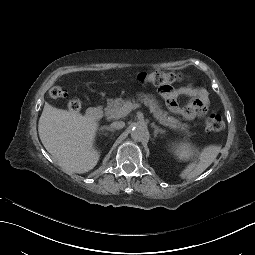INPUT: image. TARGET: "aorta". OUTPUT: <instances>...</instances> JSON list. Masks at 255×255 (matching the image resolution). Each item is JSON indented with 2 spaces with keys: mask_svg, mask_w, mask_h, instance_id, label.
Returning <instances> with one entry per match:
<instances>
[{
  "mask_svg": "<svg viewBox=\"0 0 255 255\" xmlns=\"http://www.w3.org/2000/svg\"><path fill=\"white\" fill-rule=\"evenodd\" d=\"M130 133L134 141H142L147 135V130L143 125L136 124Z\"/></svg>",
  "mask_w": 255,
  "mask_h": 255,
  "instance_id": "762f6f07",
  "label": "aorta"
}]
</instances>
